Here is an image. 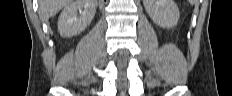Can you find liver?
I'll return each instance as SVG.
<instances>
[{"instance_id":"obj_1","label":"liver","mask_w":232,"mask_h":96,"mask_svg":"<svg viewBox=\"0 0 232 96\" xmlns=\"http://www.w3.org/2000/svg\"><path fill=\"white\" fill-rule=\"evenodd\" d=\"M70 2L71 0H39L40 17L47 21Z\"/></svg>"}]
</instances>
